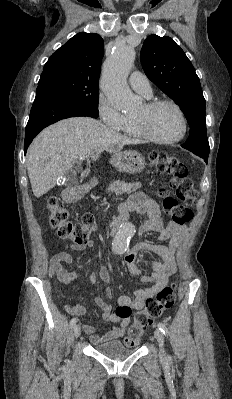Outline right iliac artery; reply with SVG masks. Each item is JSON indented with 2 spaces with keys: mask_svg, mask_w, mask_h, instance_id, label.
Wrapping results in <instances>:
<instances>
[{
  "mask_svg": "<svg viewBox=\"0 0 232 399\" xmlns=\"http://www.w3.org/2000/svg\"><path fill=\"white\" fill-rule=\"evenodd\" d=\"M77 321H78L77 317L72 318L71 321H70V327L71 328L75 327L76 324H77Z\"/></svg>",
  "mask_w": 232,
  "mask_h": 399,
  "instance_id": "right-iliac-artery-1",
  "label": "right iliac artery"
}]
</instances>
